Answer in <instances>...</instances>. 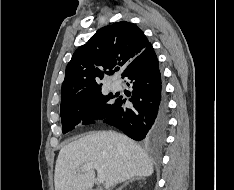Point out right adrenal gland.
<instances>
[{"mask_svg":"<svg viewBox=\"0 0 234 190\" xmlns=\"http://www.w3.org/2000/svg\"><path fill=\"white\" fill-rule=\"evenodd\" d=\"M144 178H140V177H137V178H132L130 180H128L127 182H125L118 190H122L124 187H126L127 185H129V183H132L133 181H136V180H141Z\"/></svg>","mask_w":234,"mask_h":190,"instance_id":"1","label":"right adrenal gland"}]
</instances>
